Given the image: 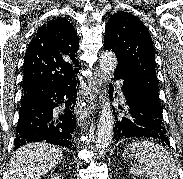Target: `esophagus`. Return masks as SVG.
<instances>
[{"label": "esophagus", "instance_id": "esophagus-1", "mask_svg": "<svg viewBox=\"0 0 183 179\" xmlns=\"http://www.w3.org/2000/svg\"><path fill=\"white\" fill-rule=\"evenodd\" d=\"M101 85H102V74L98 71L94 75L93 80L90 82V87L94 100L100 93ZM89 113H91V108L85 109L84 111L77 110L76 115L80 126H83V118L89 115Z\"/></svg>", "mask_w": 183, "mask_h": 179}]
</instances>
